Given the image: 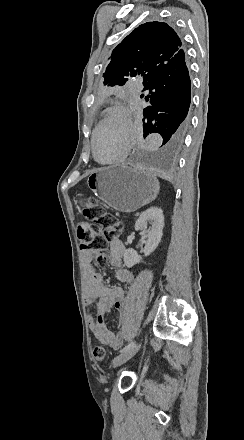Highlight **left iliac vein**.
<instances>
[{"label":"left iliac vein","instance_id":"obj_1","mask_svg":"<svg viewBox=\"0 0 244 440\" xmlns=\"http://www.w3.org/2000/svg\"><path fill=\"white\" fill-rule=\"evenodd\" d=\"M140 343H138L137 345H135L133 348L128 349L122 353H120L118 356H116L113 359V366L114 367H118L120 366L122 363L126 362L127 360H129L130 358H132L140 349Z\"/></svg>","mask_w":244,"mask_h":440}]
</instances>
